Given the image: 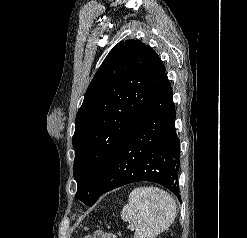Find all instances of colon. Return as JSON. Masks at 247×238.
Wrapping results in <instances>:
<instances>
[{
	"label": "colon",
	"mask_w": 247,
	"mask_h": 238,
	"mask_svg": "<svg viewBox=\"0 0 247 238\" xmlns=\"http://www.w3.org/2000/svg\"><path fill=\"white\" fill-rule=\"evenodd\" d=\"M84 238H119V237L113 232L97 230L92 234L86 235Z\"/></svg>",
	"instance_id": "1"
}]
</instances>
